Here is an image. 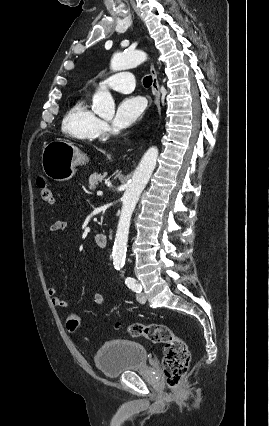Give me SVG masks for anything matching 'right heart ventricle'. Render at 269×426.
Here are the masks:
<instances>
[{"instance_id": "e07e8e85", "label": "right heart ventricle", "mask_w": 269, "mask_h": 426, "mask_svg": "<svg viewBox=\"0 0 269 426\" xmlns=\"http://www.w3.org/2000/svg\"><path fill=\"white\" fill-rule=\"evenodd\" d=\"M100 119L89 108L86 99H79L66 113L63 130L69 135L87 141L98 137Z\"/></svg>"}]
</instances>
